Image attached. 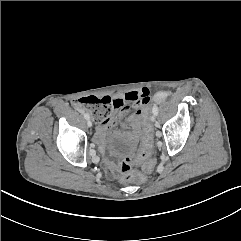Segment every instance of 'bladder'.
<instances>
[{
    "instance_id": "obj_1",
    "label": "bladder",
    "mask_w": 241,
    "mask_h": 241,
    "mask_svg": "<svg viewBox=\"0 0 241 241\" xmlns=\"http://www.w3.org/2000/svg\"><path fill=\"white\" fill-rule=\"evenodd\" d=\"M112 143L117 153L124 154L131 151L135 147L136 141L122 133H115Z\"/></svg>"
}]
</instances>
